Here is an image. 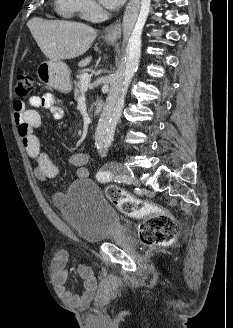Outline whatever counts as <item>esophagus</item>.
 Instances as JSON below:
<instances>
[{
	"label": "esophagus",
	"mask_w": 233,
	"mask_h": 328,
	"mask_svg": "<svg viewBox=\"0 0 233 328\" xmlns=\"http://www.w3.org/2000/svg\"><path fill=\"white\" fill-rule=\"evenodd\" d=\"M104 38L107 40L115 41L121 35V22L117 19L115 22L108 25L103 32Z\"/></svg>",
	"instance_id": "esophagus-1"
}]
</instances>
